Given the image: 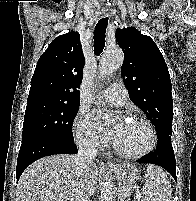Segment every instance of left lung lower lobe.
<instances>
[{
	"label": "left lung lower lobe",
	"instance_id": "0a47b994",
	"mask_svg": "<svg viewBox=\"0 0 196 201\" xmlns=\"http://www.w3.org/2000/svg\"><path fill=\"white\" fill-rule=\"evenodd\" d=\"M143 164H155L167 170L172 177L177 181L176 177V160L173 147L171 144V136L159 138L157 141L156 150L148 155H145L138 160Z\"/></svg>",
	"mask_w": 196,
	"mask_h": 201
}]
</instances>
